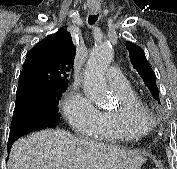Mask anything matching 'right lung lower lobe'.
I'll list each match as a JSON object with an SVG mask.
<instances>
[{
    "label": "right lung lower lobe",
    "instance_id": "98d812e1",
    "mask_svg": "<svg viewBox=\"0 0 177 169\" xmlns=\"http://www.w3.org/2000/svg\"><path fill=\"white\" fill-rule=\"evenodd\" d=\"M55 123L56 122L50 120L49 118L37 116L13 118L9 134L8 150L12 144L21 136L41 128L55 127Z\"/></svg>",
    "mask_w": 177,
    "mask_h": 169
}]
</instances>
